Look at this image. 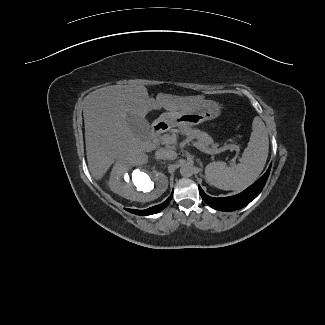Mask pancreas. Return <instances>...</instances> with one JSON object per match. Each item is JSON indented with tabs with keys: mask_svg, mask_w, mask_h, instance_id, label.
<instances>
[{
	"mask_svg": "<svg viewBox=\"0 0 325 325\" xmlns=\"http://www.w3.org/2000/svg\"><path fill=\"white\" fill-rule=\"evenodd\" d=\"M185 134L192 139H197L200 149L209 151L216 150L217 144L213 143V139L207 133L197 129H187ZM209 145H212V149L209 148Z\"/></svg>",
	"mask_w": 325,
	"mask_h": 325,
	"instance_id": "pancreas-1",
	"label": "pancreas"
}]
</instances>
